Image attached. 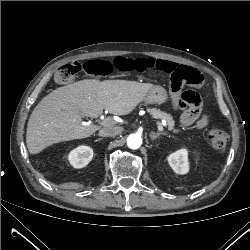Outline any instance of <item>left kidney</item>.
I'll use <instances>...</instances> for the list:
<instances>
[{
    "label": "left kidney",
    "mask_w": 250,
    "mask_h": 250,
    "mask_svg": "<svg viewBox=\"0 0 250 250\" xmlns=\"http://www.w3.org/2000/svg\"><path fill=\"white\" fill-rule=\"evenodd\" d=\"M170 167L177 174H186L189 171L188 151L180 149L168 156Z\"/></svg>",
    "instance_id": "left-kidney-1"
}]
</instances>
